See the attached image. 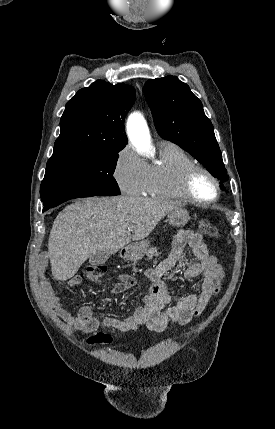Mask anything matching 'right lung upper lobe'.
I'll list each match as a JSON object with an SVG mask.
<instances>
[{
    "label": "right lung upper lobe",
    "instance_id": "right-lung-upper-lobe-1",
    "mask_svg": "<svg viewBox=\"0 0 275 429\" xmlns=\"http://www.w3.org/2000/svg\"><path fill=\"white\" fill-rule=\"evenodd\" d=\"M135 101L132 86L98 80L70 99L60 120L54 153L118 150L127 144L124 119Z\"/></svg>",
    "mask_w": 275,
    "mask_h": 429
}]
</instances>
